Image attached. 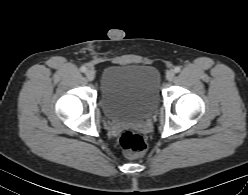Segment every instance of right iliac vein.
Listing matches in <instances>:
<instances>
[{"mask_svg":"<svg viewBox=\"0 0 248 195\" xmlns=\"http://www.w3.org/2000/svg\"><path fill=\"white\" fill-rule=\"evenodd\" d=\"M86 77L88 80L92 81L95 78V71L94 70H87L86 71Z\"/></svg>","mask_w":248,"mask_h":195,"instance_id":"1","label":"right iliac vein"}]
</instances>
